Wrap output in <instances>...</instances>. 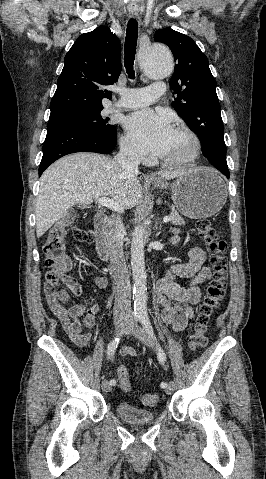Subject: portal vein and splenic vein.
<instances>
[{"mask_svg":"<svg viewBox=\"0 0 266 479\" xmlns=\"http://www.w3.org/2000/svg\"><path fill=\"white\" fill-rule=\"evenodd\" d=\"M96 202L100 206L107 207L111 210L118 211V212H124V208L121 207L118 203H116L113 199L107 198V197H100L96 199ZM171 220L170 216H166L163 218V221L165 223L169 222Z\"/></svg>","mask_w":266,"mask_h":479,"instance_id":"portal-vein-and-splenic-vein-1","label":"portal vein and splenic vein"}]
</instances>
